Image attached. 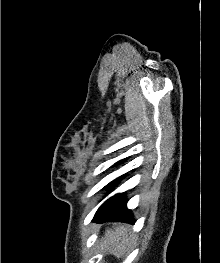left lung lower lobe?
Instances as JSON below:
<instances>
[{
	"label": "left lung lower lobe",
	"instance_id": "obj_1",
	"mask_svg": "<svg viewBox=\"0 0 220 263\" xmlns=\"http://www.w3.org/2000/svg\"><path fill=\"white\" fill-rule=\"evenodd\" d=\"M93 221L99 223L122 221L134 224L131 211L126 208V200L123 194H117L102 204Z\"/></svg>",
	"mask_w": 220,
	"mask_h": 263
}]
</instances>
